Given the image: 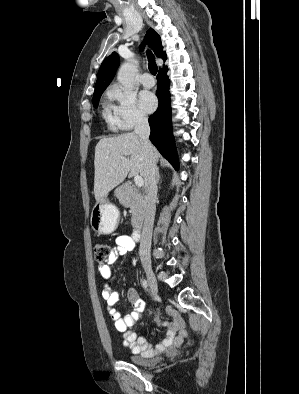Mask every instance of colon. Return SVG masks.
I'll return each mask as SVG.
<instances>
[{"mask_svg":"<svg viewBox=\"0 0 299 394\" xmlns=\"http://www.w3.org/2000/svg\"><path fill=\"white\" fill-rule=\"evenodd\" d=\"M93 253L97 262L104 263L111 255L110 245L103 241H97L93 244Z\"/></svg>","mask_w":299,"mask_h":394,"instance_id":"1","label":"colon"}]
</instances>
